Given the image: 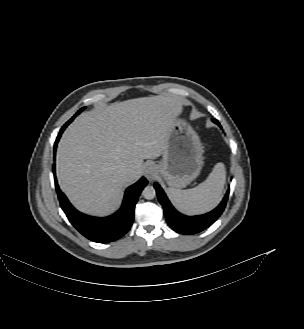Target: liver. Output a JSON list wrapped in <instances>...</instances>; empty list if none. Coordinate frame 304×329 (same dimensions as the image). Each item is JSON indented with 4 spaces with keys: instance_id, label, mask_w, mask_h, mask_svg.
<instances>
[{
    "instance_id": "1",
    "label": "liver",
    "mask_w": 304,
    "mask_h": 329,
    "mask_svg": "<svg viewBox=\"0 0 304 329\" xmlns=\"http://www.w3.org/2000/svg\"><path fill=\"white\" fill-rule=\"evenodd\" d=\"M183 102L174 95L141 97L82 113L58 144L56 172L62 191L80 211L106 215L122 189L143 173V160L164 151ZM129 167L127 178L120 168Z\"/></svg>"
}]
</instances>
